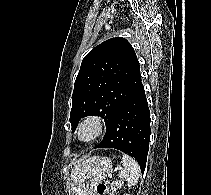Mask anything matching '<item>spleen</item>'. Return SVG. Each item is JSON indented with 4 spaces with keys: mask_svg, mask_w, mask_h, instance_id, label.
I'll use <instances>...</instances> for the list:
<instances>
[{
    "mask_svg": "<svg viewBox=\"0 0 211 195\" xmlns=\"http://www.w3.org/2000/svg\"><path fill=\"white\" fill-rule=\"evenodd\" d=\"M121 163L123 168L118 174L119 178L127 181L128 185H135L141 175L139 164L126 154H123Z\"/></svg>",
    "mask_w": 211,
    "mask_h": 195,
    "instance_id": "1",
    "label": "spleen"
}]
</instances>
